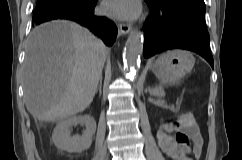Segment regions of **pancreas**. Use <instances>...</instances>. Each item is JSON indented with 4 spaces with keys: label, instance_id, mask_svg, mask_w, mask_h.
Wrapping results in <instances>:
<instances>
[{
    "label": "pancreas",
    "instance_id": "1",
    "mask_svg": "<svg viewBox=\"0 0 242 160\" xmlns=\"http://www.w3.org/2000/svg\"><path fill=\"white\" fill-rule=\"evenodd\" d=\"M152 94L154 95H161V90L160 89H153Z\"/></svg>",
    "mask_w": 242,
    "mask_h": 160
}]
</instances>
